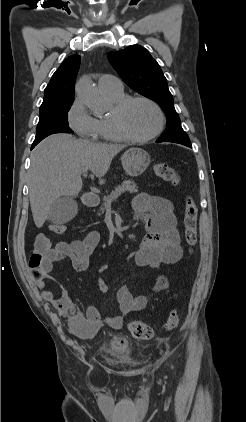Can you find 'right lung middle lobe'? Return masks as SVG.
<instances>
[{
  "instance_id": "right-lung-middle-lobe-1",
  "label": "right lung middle lobe",
  "mask_w": 246,
  "mask_h": 422,
  "mask_svg": "<svg viewBox=\"0 0 246 422\" xmlns=\"http://www.w3.org/2000/svg\"><path fill=\"white\" fill-rule=\"evenodd\" d=\"M73 101L74 99L64 100L40 107V119L33 147L51 134L72 132L68 125V111Z\"/></svg>"
}]
</instances>
